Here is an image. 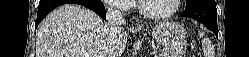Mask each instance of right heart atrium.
I'll return each instance as SVG.
<instances>
[{
	"mask_svg": "<svg viewBox=\"0 0 249 57\" xmlns=\"http://www.w3.org/2000/svg\"><path fill=\"white\" fill-rule=\"evenodd\" d=\"M105 4L114 13H125L130 11L132 8L130 0H106Z\"/></svg>",
	"mask_w": 249,
	"mask_h": 57,
	"instance_id": "obj_1",
	"label": "right heart atrium"
}]
</instances>
